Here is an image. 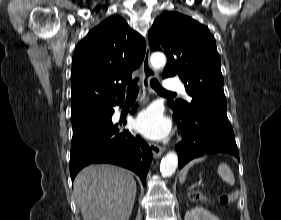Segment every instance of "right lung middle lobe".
Returning <instances> with one entry per match:
<instances>
[{"instance_id": "1", "label": "right lung middle lobe", "mask_w": 281, "mask_h": 220, "mask_svg": "<svg viewBox=\"0 0 281 220\" xmlns=\"http://www.w3.org/2000/svg\"><path fill=\"white\" fill-rule=\"evenodd\" d=\"M77 119L72 120V122L76 121Z\"/></svg>"}]
</instances>
